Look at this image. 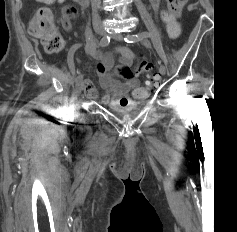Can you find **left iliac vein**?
<instances>
[{"instance_id":"obj_1","label":"left iliac vein","mask_w":237,"mask_h":232,"mask_svg":"<svg viewBox=\"0 0 237 232\" xmlns=\"http://www.w3.org/2000/svg\"><path fill=\"white\" fill-rule=\"evenodd\" d=\"M110 35L116 41H122L123 40V36L120 33L112 32V33H110ZM159 72H160L161 75H165L166 68H165L164 65H160Z\"/></svg>"}]
</instances>
